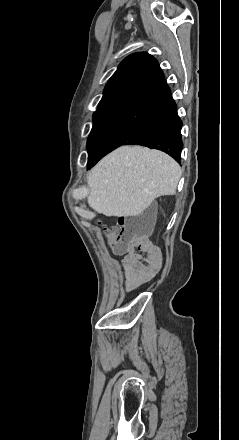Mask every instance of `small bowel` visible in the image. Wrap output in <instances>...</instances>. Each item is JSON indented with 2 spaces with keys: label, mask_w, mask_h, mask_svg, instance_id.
<instances>
[{
  "label": "small bowel",
  "mask_w": 239,
  "mask_h": 440,
  "mask_svg": "<svg viewBox=\"0 0 239 440\" xmlns=\"http://www.w3.org/2000/svg\"><path fill=\"white\" fill-rule=\"evenodd\" d=\"M125 289L130 292L150 281L162 265L161 251L150 243L123 252Z\"/></svg>",
  "instance_id": "small-bowel-1"
}]
</instances>
